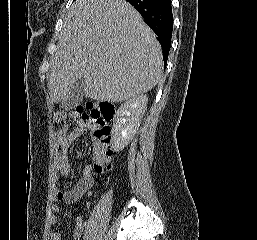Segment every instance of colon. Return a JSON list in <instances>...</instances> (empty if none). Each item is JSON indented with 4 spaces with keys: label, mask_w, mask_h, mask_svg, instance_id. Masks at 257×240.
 Instances as JSON below:
<instances>
[{
    "label": "colon",
    "mask_w": 257,
    "mask_h": 240,
    "mask_svg": "<svg viewBox=\"0 0 257 240\" xmlns=\"http://www.w3.org/2000/svg\"><path fill=\"white\" fill-rule=\"evenodd\" d=\"M114 108L109 104L88 103L78 107L76 115L80 125L91 134L94 149L93 174L98 177L111 169L110 129L108 123L113 117Z\"/></svg>",
    "instance_id": "1"
}]
</instances>
